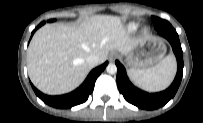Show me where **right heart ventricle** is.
<instances>
[{"label": "right heart ventricle", "mask_w": 203, "mask_h": 123, "mask_svg": "<svg viewBox=\"0 0 203 123\" xmlns=\"http://www.w3.org/2000/svg\"><path fill=\"white\" fill-rule=\"evenodd\" d=\"M139 27V23L131 22L128 24L127 29L131 32L135 31Z\"/></svg>", "instance_id": "obj_1"}]
</instances>
